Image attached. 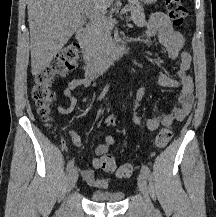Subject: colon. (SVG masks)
Instances as JSON below:
<instances>
[{
	"label": "colon",
	"mask_w": 216,
	"mask_h": 217,
	"mask_svg": "<svg viewBox=\"0 0 216 217\" xmlns=\"http://www.w3.org/2000/svg\"><path fill=\"white\" fill-rule=\"evenodd\" d=\"M166 8L169 19L175 26H181L187 16V10L182 0H166ZM80 44L77 41L69 42L61 51L58 58L41 71L34 80L31 89V97L35 103L39 115L47 123L51 124V104L54 99V93L51 90L52 81L55 76H65L79 65ZM105 124L112 127L116 124V118L109 116ZM173 131L170 126L162 128L155 138V145L158 148H164L171 140ZM101 169L108 173H115L119 178H129L133 174L131 164H123L116 167L114 157L110 154L104 157Z\"/></svg>",
	"instance_id": "1"
}]
</instances>
